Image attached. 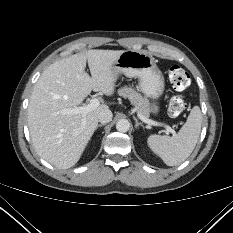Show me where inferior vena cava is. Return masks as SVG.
Instances as JSON below:
<instances>
[{
    "label": "inferior vena cava",
    "mask_w": 233,
    "mask_h": 233,
    "mask_svg": "<svg viewBox=\"0 0 233 233\" xmlns=\"http://www.w3.org/2000/svg\"><path fill=\"white\" fill-rule=\"evenodd\" d=\"M112 117V112L109 109H105L98 114V121L102 124L109 123L112 120Z\"/></svg>",
    "instance_id": "602c4592"
}]
</instances>
